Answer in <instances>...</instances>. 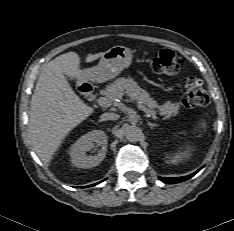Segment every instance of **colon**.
Segmentation results:
<instances>
[{"label": "colon", "mask_w": 234, "mask_h": 231, "mask_svg": "<svg viewBox=\"0 0 234 231\" xmlns=\"http://www.w3.org/2000/svg\"><path fill=\"white\" fill-rule=\"evenodd\" d=\"M154 72L175 76L179 72V61L172 50H161L151 62ZM182 103L187 108L204 107L209 103V96L199 79L191 77L186 83Z\"/></svg>", "instance_id": "5ec220e1"}]
</instances>
